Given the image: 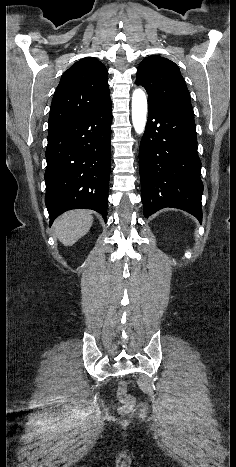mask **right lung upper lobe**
<instances>
[{"label":"right lung upper lobe","mask_w":236,"mask_h":467,"mask_svg":"<svg viewBox=\"0 0 236 467\" xmlns=\"http://www.w3.org/2000/svg\"><path fill=\"white\" fill-rule=\"evenodd\" d=\"M110 101L107 70L94 57L73 64L54 93L49 128L78 119Z\"/></svg>","instance_id":"1"}]
</instances>
